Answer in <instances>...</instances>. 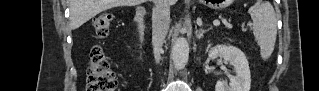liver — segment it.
<instances>
[{"label":"liver","instance_id":"liver-1","mask_svg":"<svg viewBox=\"0 0 319 91\" xmlns=\"http://www.w3.org/2000/svg\"><path fill=\"white\" fill-rule=\"evenodd\" d=\"M177 0H168L170 5ZM145 0H71L70 23L72 29H77L99 13L118 6H135Z\"/></svg>","mask_w":319,"mask_h":91}]
</instances>
